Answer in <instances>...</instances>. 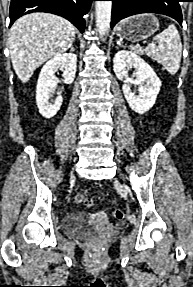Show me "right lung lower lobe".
I'll use <instances>...</instances> for the list:
<instances>
[{"label": "right lung lower lobe", "instance_id": "1", "mask_svg": "<svg viewBox=\"0 0 193 287\" xmlns=\"http://www.w3.org/2000/svg\"><path fill=\"white\" fill-rule=\"evenodd\" d=\"M95 0H11L10 25L19 17L33 12H47L62 16L84 31L83 16L89 11Z\"/></svg>", "mask_w": 193, "mask_h": 287}]
</instances>
